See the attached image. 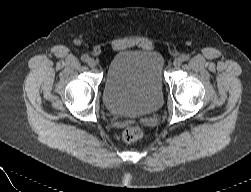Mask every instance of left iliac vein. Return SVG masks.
Masks as SVG:
<instances>
[{
	"mask_svg": "<svg viewBox=\"0 0 251 192\" xmlns=\"http://www.w3.org/2000/svg\"><path fill=\"white\" fill-rule=\"evenodd\" d=\"M181 64H182V59H181V58H176V59L173 61V66H174L175 68L180 67Z\"/></svg>",
	"mask_w": 251,
	"mask_h": 192,
	"instance_id": "4c4485c4",
	"label": "left iliac vein"
}]
</instances>
